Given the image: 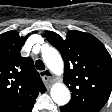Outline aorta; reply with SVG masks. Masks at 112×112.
Returning a JSON list of instances; mask_svg holds the SVG:
<instances>
[{
    "label": "aorta",
    "instance_id": "obj_1",
    "mask_svg": "<svg viewBox=\"0 0 112 112\" xmlns=\"http://www.w3.org/2000/svg\"><path fill=\"white\" fill-rule=\"evenodd\" d=\"M42 58L53 73L60 75L63 72V60L55 48L47 47L42 53ZM50 93L53 101L60 106H63L70 101V91L63 83H55L52 86Z\"/></svg>",
    "mask_w": 112,
    "mask_h": 112
}]
</instances>
